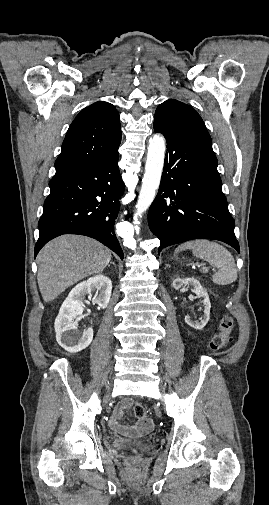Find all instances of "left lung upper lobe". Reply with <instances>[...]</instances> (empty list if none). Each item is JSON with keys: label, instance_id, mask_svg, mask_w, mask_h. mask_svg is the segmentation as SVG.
I'll return each instance as SVG.
<instances>
[{"label": "left lung upper lobe", "instance_id": "5c2ea615", "mask_svg": "<svg viewBox=\"0 0 269 505\" xmlns=\"http://www.w3.org/2000/svg\"><path fill=\"white\" fill-rule=\"evenodd\" d=\"M155 119L168 123L190 124L207 131L202 118L191 106L174 99H169L157 107Z\"/></svg>", "mask_w": 269, "mask_h": 505}]
</instances>
